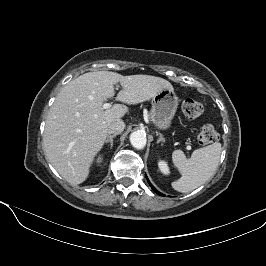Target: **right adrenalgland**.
I'll list each match as a JSON object with an SVG mask.
<instances>
[{
  "mask_svg": "<svg viewBox=\"0 0 266 266\" xmlns=\"http://www.w3.org/2000/svg\"><path fill=\"white\" fill-rule=\"evenodd\" d=\"M115 137H116V135H110V136H108V138L105 140V143H106V144L110 143V149H112V147H113V138H115Z\"/></svg>",
  "mask_w": 266,
  "mask_h": 266,
  "instance_id": "2a0ac1e0",
  "label": "right adrenal gland"
}]
</instances>
